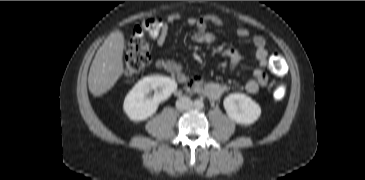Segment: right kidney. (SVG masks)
Listing matches in <instances>:
<instances>
[{
    "label": "right kidney",
    "instance_id": "1",
    "mask_svg": "<svg viewBox=\"0 0 365 180\" xmlns=\"http://www.w3.org/2000/svg\"><path fill=\"white\" fill-rule=\"evenodd\" d=\"M176 89L177 83L170 77L160 75L144 77L125 97L123 110L132 121L146 120Z\"/></svg>",
    "mask_w": 365,
    "mask_h": 180
}]
</instances>
